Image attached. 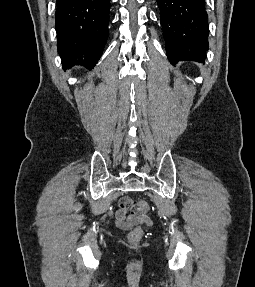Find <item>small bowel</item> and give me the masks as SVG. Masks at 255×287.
<instances>
[{"instance_id":"obj_1","label":"small bowel","mask_w":255,"mask_h":287,"mask_svg":"<svg viewBox=\"0 0 255 287\" xmlns=\"http://www.w3.org/2000/svg\"><path fill=\"white\" fill-rule=\"evenodd\" d=\"M118 210L115 213V224L121 230L129 231L139 224L151 226L153 220L143 215L129 197H122L118 201Z\"/></svg>"}]
</instances>
